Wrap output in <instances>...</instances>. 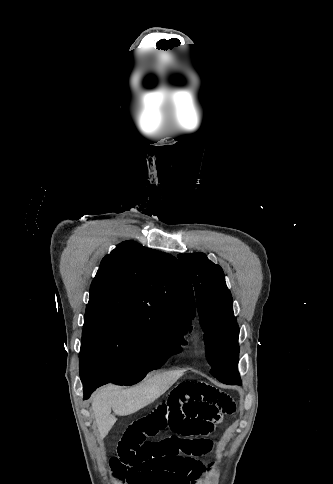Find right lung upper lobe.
<instances>
[{
  "label": "right lung upper lobe",
  "instance_id": "1",
  "mask_svg": "<svg viewBox=\"0 0 333 484\" xmlns=\"http://www.w3.org/2000/svg\"><path fill=\"white\" fill-rule=\"evenodd\" d=\"M98 310L179 316L190 322L195 300L190 278L176 258L125 241L102 259L92 281L86 311Z\"/></svg>",
  "mask_w": 333,
  "mask_h": 484
}]
</instances>
